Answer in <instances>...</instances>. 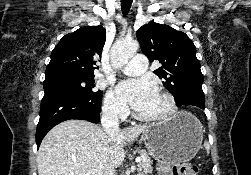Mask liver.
<instances>
[{
	"instance_id": "liver-1",
	"label": "liver",
	"mask_w": 251,
	"mask_h": 175,
	"mask_svg": "<svg viewBox=\"0 0 251 175\" xmlns=\"http://www.w3.org/2000/svg\"><path fill=\"white\" fill-rule=\"evenodd\" d=\"M145 125L106 133L85 119H67L48 131L37 155L38 175H103L122 165L124 145L144 133Z\"/></svg>"
}]
</instances>
